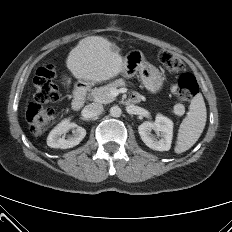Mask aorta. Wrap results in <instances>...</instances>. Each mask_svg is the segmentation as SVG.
Returning <instances> with one entry per match:
<instances>
[{
  "instance_id": "obj_1",
  "label": "aorta",
  "mask_w": 232,
  "mask_h": 232,
  "mask_svg": "<svg viewBox=\"0 0 232 232\" xmlns=\"http://www.w3.org/2000/svg\"><path fill=\"white\" fill-rule=\"evenodd\" d=\"M121 114H122V111H121V109H120L119 106H113V107L110 108V115L112 117H116L117 118V117H120Z\"/></svg>"
}]
</instances>
